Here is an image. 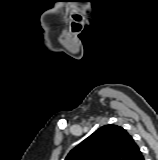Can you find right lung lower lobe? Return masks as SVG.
Wrapping results in <instances>:
<instances>
[{
	"mask_svg": "<svg viewBox=\"0 0 158 160\" xmlns=\"http://www.w3.org/2000/svg\"><path fill=\"white\" fill-rule=\"evenodd\" d=\"M136 160H144L143 155L141 154Z\"/></svg>",
	"mask_w": 158,
	"mask_h": 160,
	"instance_id": "right-lung-lower-lobe-1",
	"label": "right lung lower lobe"
}]
</instances>
